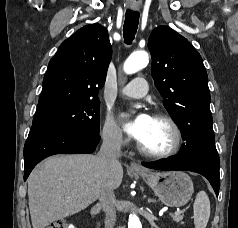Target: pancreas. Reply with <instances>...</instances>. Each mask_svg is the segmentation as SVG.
Returning a JSON list of instances; mask_svg holds the SVG:
<instances>
[{
    "instance_id": "pancreas-1",
    "label": "pancreas",
    "mask_w": 238,
    "mask_h": 228,
    "mask_svg": "<svg viewBox=\"0 0 238 228\" xmlns=\"http://www.w3.org/2000/svg\"><path fill=\"white\" fill-rule=\"evenodd\" d=\"M171 217H172V219H173L175 222L181 223V224L183 223V222H182V219H183V216H182V215H175V214H174V215H172Z\"/></svg>"
}]
</instances>
